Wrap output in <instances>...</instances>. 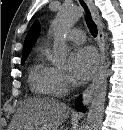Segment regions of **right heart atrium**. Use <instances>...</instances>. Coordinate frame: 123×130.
Returning <instances> with one entry per match:
<instances>
[{
	"label": "right heart atrium",
	"instance_id": "1",
	"mask_svg": "<svg viewBox=\"0 0 123 130\" xmlns=\"http://www.w3.org/2000/svg\"><path fill=\"white\" fill-rule=\"evenodd\" d=\"M70 89V80L67 75L57 70L56 74V90L57 95H65Z\"/></svg>",
	"mask_w": 123,
	"mask_h": 130
}]
</instances>
